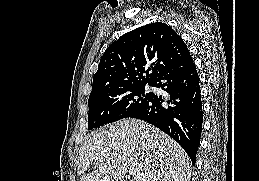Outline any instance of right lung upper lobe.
<instances>
[{
    "mask_svg": "<svg viewBox=\"0 0 259 181\" xmlns=\"http://www.w3.org/2000/svg\"><path fill=\"white\" fill-rule=\"evenodd\" d=\"M188 53L184 41L167 24L156 22L141 26L106 49L93 77L90 96L110 89L152 83Z\"/></svg>",
    "mask_w": 259,
    "mask_h": 181,
    "instance_id": "cb5924a9",
    "label": "right lung upper lobe"
}]
</instances>
